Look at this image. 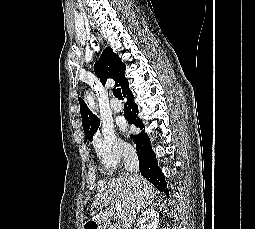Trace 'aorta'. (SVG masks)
<instances>
[{
  "label": "aorta",
  "instance_id": "1",
  "mask_svg": "<svg viewBox=\"0 0 255 229\" xmlns=\"http://www.w3.org/2000/svg\"><path fill=\"white\" fill-rule=\"evenodd\" d=\"M86 102H87L88 106H89L92 110H95L96 104H95L94 97H93L91 94H87V96H86Z\"/></svg>",
  "mask_w": 255,
  "mask_h": 229
}]
</instances>
